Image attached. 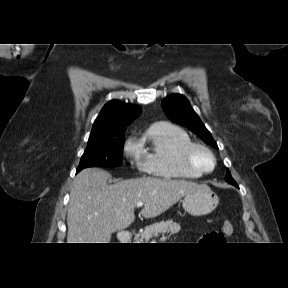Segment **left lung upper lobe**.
<instances>
[{
    "label": "left lung upper lobe",
    "instance_id": "left-lung-upper-lobe-1",
    "mask_svg": "<svg viewBox=\"0 0 288 288\" xmlns=\"http://www.w3.org/2000/svg\"><path fill=\"white\" fill-rule=\"evenodd\" d=\"M162 107L167 117L173 122L183 125L197 134L205 143L218 148L211 133L206 129L201 119L190 106L187 98L181 94H173L162 101ZM225 180L228 183L235 182L227 170Z\"/></svg>",
    "mask_w": 288,
    "mask_h": 288
}]
</instances>
